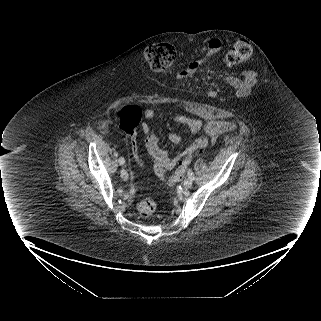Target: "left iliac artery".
I'll return each mask as SVG.
<instances>
[{
	"label": "left iliac artery",
	"instance_id": "left-iliac-artery-1",
	"mask_svg": "<svg viewBox=\"0 0 321 321\" xmlns=\"http://www.w3.org/2000/svg\"><path fill=\"white\" fill-rule=\"evenodd\" d=\"M188 177L194 180V173L191 170L188 171Z\"/></svg>",
	"mask_w": 321,
	"mask_h": 321
}]
</instances>
